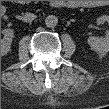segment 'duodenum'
<instances>
[{
  "instance_id": "1",
  "label": "duodenum",
  "mask_w": 109,
  "mask_h": 109,
  "mask_svg": "<svg viewBox=\"0 0 109 109\" xmlns=\"http://www.w3.org/2000/svg\"><path fill=\"white\" fill-rule=\"evenodd\" d=\"M55 6L56 7H65V6H67V3L66 2H56ZM72 6H75V5H72Z\"/></svg>"
}]
</instances>
